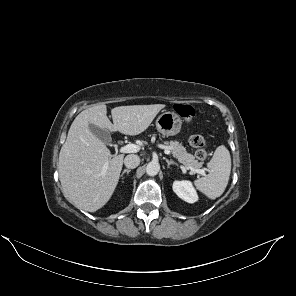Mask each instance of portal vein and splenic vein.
I'll list each match as a JSON object with an SVG mask.
<instances>
[{
  "label": "portal vein and splenic vein",
  "mask_w": 296,
  "mask_h": 296,
  "mask_svg": "<svg viewBox=\"0 0 296 296\" xmlns=\"http://www.w3.org/2000/svg\"><path fill=\"white\" fill-rule=\"evenodd\" d=\"M139 150H140V147H139L138 145H136V144H127V145L121 147L120 152H121V153H136V152H138ZM164 152H165V154H167V155H171V151L168 150V149H165ZM107 166H108V163H106V164L104 165V169H106ZM190 170H191L193 173H198V174H201V175L205 174V171H204L203 169H193V168H190Z\"/></svg>",
  "instance_id": "1"
}]
</instances>
